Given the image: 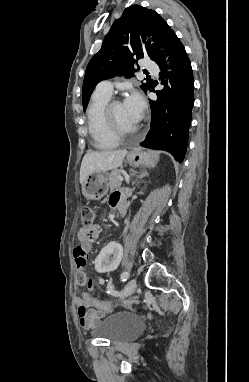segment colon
Listing matches in <instances>:
<instances>
[{"mask_svg":"<svg viewBox=\"0 0 249 382\" xmlns=\"http://www.w3.org/2000/svg\"><path fill=\"white\" fill-rule=\"evenodd\" d=\"M81 223L84 228H90L95 218V211L90 206H82L80 209ZM74 258L77 266L75 267V278L78 282H86L87 276L84 274L83 269L88 262V249L87 248H75L73 249ZM89 287L92 288V282H89ZM107 309L108 305L104 304ZM149 318H152L149 315Z\"/></svg>","mask_w":249,"mask_h":382,"instance_id":"5ec220e1","label":"colon"}]
</instances>
